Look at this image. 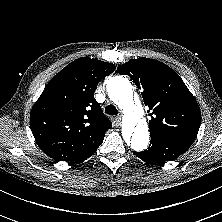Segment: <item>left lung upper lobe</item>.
I'll use <instances>...</instances> for the list:
<instances>
[{
  "mask_svg": "<svg viewBox=\"0 0 222 222\" xmlns=\"http://www.w3.org/2000/svg\"><path fill=\"white\" fill-rule=\"evenodd\" d=\"M117 73L129 75L142 90L151 116L150 136L195 140L201 123L200 108L174 70L158 60L142 57L119 65Z\"/></svg>",
  "mask_w": 222,
  "mask_h": 222,
  "instance_id": "left-lung-upper-lobe-1",
  "label": "left lung upper lobe"
}]
</instances>
